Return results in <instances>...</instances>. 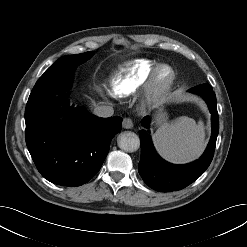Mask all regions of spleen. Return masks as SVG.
<instances>
[{
  "mask_svg": "<svg viewBox=\"0 0 247 247\" xmlns=\"http://www.w3.org/2000/svg\"><path fill=\"white\" fill-rule=\"evenodd\" d=\"M159 154L173 163H185L197 158L205 148L203 122L182 116L163 124L153 135Z\"/></svg>",
  "mask_w": 247,
  "mask_h": 247,
  "instance_id": "1",
  "label": "spleen"
}]
</instances>
